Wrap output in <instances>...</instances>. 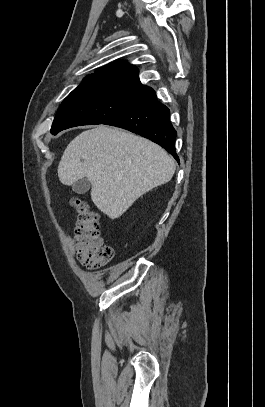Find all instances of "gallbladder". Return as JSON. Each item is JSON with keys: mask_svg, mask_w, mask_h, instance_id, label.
Wrapping results in <instances>:
<instances>
[{"mask_svg": "<svg viewBox=\"0 0 265 407\" xmlns=\"http://www.w3.org/2000/svg\"><path fill=\"white\" fill-rule=\"evenodd\" d=\"M91 183L87 178H82L75 182L72 186V190L77 194H85L90 189Z\"/></svg>", "mask_w": 265, "mask_h": 407, "instance_id": "bac80fb5", "label": "gallbladder"}]
</instances>
